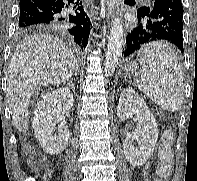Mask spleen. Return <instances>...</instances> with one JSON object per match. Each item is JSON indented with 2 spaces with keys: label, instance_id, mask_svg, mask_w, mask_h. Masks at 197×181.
I'll list each match as a JSON object with an SVG mask.
<instances>
[{
  "label": "spleen",
  "instance_id": "3e777b00",
  "mask_svg": "<svg viewBox=\"0 0 197 181\" xmlns=\"http://www.w3.org/2000/svg\"><path fill=\"white\" fill-rule=\"evenodd\" d=\"M142 76L138 89L162 109L180 110L184 100L183 75L172 47L164 41H153L138 52Z\"/></svg>",
  "mask_w": 197,
  "mask_h": 181
}]
</instances>
